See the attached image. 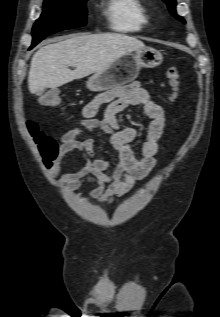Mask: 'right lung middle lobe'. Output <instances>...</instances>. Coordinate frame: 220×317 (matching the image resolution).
<instances>
[{
    "instance_id": "1",
    "label": "right lung middle lobe",
    "mask_w": 220,
    "mask_h": 317,
    "mask_svg": "<svg viewBox=\"0 0 220 317\" xmlns=\"http://www.w3.org/2000/svg\"><path fill=\"white\" fill-rule=\"evenodd\" d=\"M87 0H45L40 18L33 26L35 46L46 36L67 29L78 28L86 24Z\"/></svg>"
}]
</instances>
